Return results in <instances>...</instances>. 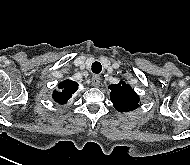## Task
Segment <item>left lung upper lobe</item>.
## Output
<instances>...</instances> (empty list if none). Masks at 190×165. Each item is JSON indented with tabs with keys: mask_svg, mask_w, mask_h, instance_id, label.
<instances>
[{
	"mask_svg": "<svg viewBox=\"0 0 190 165\" xmlns=\"http://www.w3.org/2000/svg\"><path fill=\"white\" fill-rule=\"evenodd\" d=\"M109 89L110 99L117 111L128 112L139 107V96L125 82L110 85Z\"/></svg>",
	"mask_w": 190,
	"mask_h": 165,
	"instance_id": "obj_1",
	"label": "left lung upper lobe"
}]
</instances>
